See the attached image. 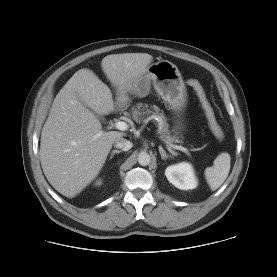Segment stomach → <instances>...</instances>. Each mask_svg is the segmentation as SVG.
Wrapping results in <instances>:
<instances>
[{
    "mask_svg": "<svg viewBox=\"0 0 277 277\" xmlns=\"http://www.w3.org/2000/svg\"><path fill=\"white\" fill-rule=\"evenodd\" d=\"M151 84L163 101L173 110L178 117L179 127L180 117L187 102V93L181 73L177 66L168 60H160L149 65L145 72L140 75L128 88L125 96L127 100L120 103L121 94L118 93L116 106L126 108L129 104L128 94L145 97L149 94Z\"/></svg>",
    "mask_w": 277,
    "mask_h": 277,
    "instance_id": "obj_1",
    "label": "stomach"
}]
</instances>
